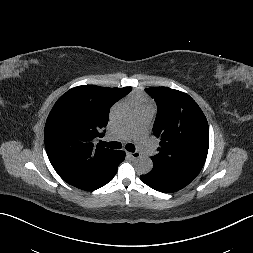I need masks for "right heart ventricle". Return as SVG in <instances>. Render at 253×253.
<instances>
[{
	"label": "right heart ventricle",
	"instance_id": "1",
	"mask_svg": "<svg viewBox=\"0 0 253 253\" xmlns=\"http://www.w3.org/2000/svg\"><path fill=\"white\" fill-rule=\"evenodd\" d=\"M141 104L142 105H147V103L144 100L141 102Z\"/></svg>",
	"mask_w": 253,
	"mask_h": 253
}]
</instances>
